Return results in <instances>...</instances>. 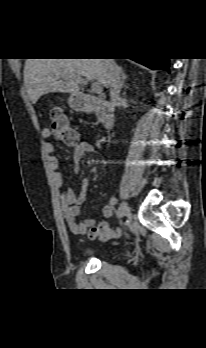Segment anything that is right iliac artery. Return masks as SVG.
<instances>
[{
  "label": "right iliac artery",
  "mask_w": 206,
  "mask_h": 348,
  "mask_svg": "<svg viewBox=\"0 0 206 348\" xmlns=\"http://www.w3.org/2000/svg\"><path fill=\"white\" fill-rule=\"evenodd\" d=\"M109 201L111 204H116L117 203V199L114 198V196H109Z\"/></svg>",
  "instance_id": "1"
}]
</instances>
